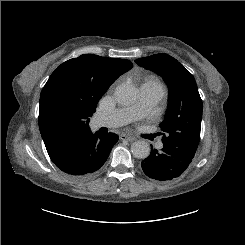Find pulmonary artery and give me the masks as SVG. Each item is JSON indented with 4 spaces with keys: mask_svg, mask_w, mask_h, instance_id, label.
<instances>
[{
    "mask_svg": "<svg viewBox=\"0 0 245 245\" xmlns=\"http://www.w3.org/2000/svg\"><path fill=\"white\" fill-rule=\"evenodd\" d=\"M165 96V92L159 89L140 87V97L137 103L117 108L113 111L102 112L96 116V123L99 127H118L128 124L137 118L145 115L155 107ZM163 147L162 143L158 144Z\"/></svg>",
    "mask_w": 245,
    "mask_h": 245,
    "instance_id": "1",
    "label": "pulmonary artery"
}]
</instances>
